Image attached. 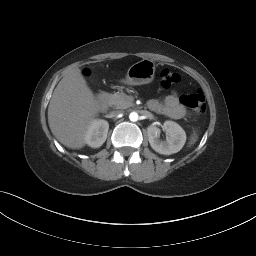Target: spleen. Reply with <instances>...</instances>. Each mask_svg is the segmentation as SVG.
I'll use <instances>...</instances> for the list:
<instances>
[{
    "label": "spleen",
    "instance_id": "spleen-1",
    "mask_svg": "<svg viewBox=\"0 0 256 256\" xmlns=\"http://www.w3.org/2000/svg\"><path fill=\"white\" fill-rule=\"evenodd\" d=\"M196 139H197V135H196V134H193V136L191 137L190 144H191V145L194 144L195 141H196Z\"/></svg>",
    "mask_w": 256,
    "mask_h": 256
}]
</instances>
